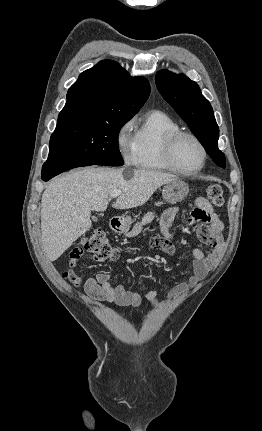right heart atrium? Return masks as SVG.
<instances>
[{
    "label": "right heart atrium",
    "instance_id": "obj_1",
    "mask_svg": "<svg viewBox=\"0 0 262 431\" xmlns=\"http://www.w3.org/2000/svg\"><path fill=\"white\" fill-rule=\"evenodd\" d=\"M132 122H125L116 136L117 148L126 163L134 162V136L131 133Z\"/></svg>",
    "mask_w": 262,
    "mask_h": 431
}]
</instances>
